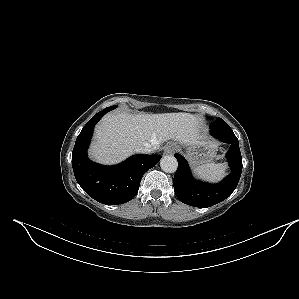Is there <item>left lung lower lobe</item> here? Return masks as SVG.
<instances>
[{"instance_id":"0a47b994","label":"left lung lower lobe","mask_w":299,"mask_h":299,"mask_svg":"<svg viewBox=\"0 0 299 299\" xmlns=\"http://www.w3.org/2000/svg\"><path fill=\"white\" fill-rule=\"evenodd\" d=\"M211 134L222 142L230 143L226 154L232 172L220 183L209 184L193 179L187 161L179 154H175L178 169L175 173L173 185L177 198L190 206L211 207L228 198L237 187L242 172V157L238 139L226 122H212Z\"/></svg>"}]
</instances>
